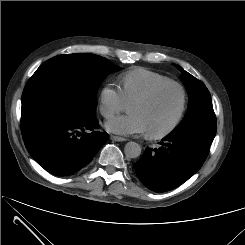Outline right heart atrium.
Wrapping results in <instances>:
<instances>
[{
    "label": "right heart atrium",
    "mask_w": 245,
    "mask_h": 245,
    "mask_svg": "<svg viewBox=\"0 0 245 245\" xmlns=\"http://www.w3.org/2000/svg\"><path fill=\"white\" fill-rule=\"evenodd\" d=\"M125 106V100L119 89L110 84L104 85L99 92V111L109 118L119 113Z\"/></svg>",
    "instance_id": "d8ad5b80"
}]
</instances>
